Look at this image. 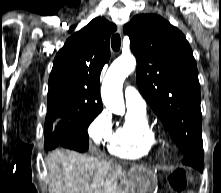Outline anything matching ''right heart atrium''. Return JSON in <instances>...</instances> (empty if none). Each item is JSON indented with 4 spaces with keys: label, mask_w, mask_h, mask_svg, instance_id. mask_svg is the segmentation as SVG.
<instances>
[{
    "label": "right heart atrium",
    "mask_w": 221,
    "mask_h": 193,
    "mask_svg": "<svg viewBox=\"0 0 221 193\" xmlns=\"http://www.w3.org/2000/svg\"><path fill=\"white\" fill-rule=\"evenodd\" d=\"M88 133L96 145H103L109 142L113 134V119L106 109L101 110L92 120Z\"/></svg>",
    "instance_id": "d8ad5b80"
}]
</instances>
